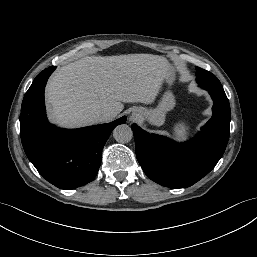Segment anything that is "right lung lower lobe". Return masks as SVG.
I'll return each instance as SVG.
<instances>
[{
	"instance_id": "obj_1",
	"label": "right lung lower lobe",
	"mask_w": 257,
	"mask_h": 257,
	"mask_svg": "<svg viewBox=\"0 0 257 257\" xmlns=\"http://www.w3.org/2000/svg\"><path fill=\"white\" fill-rule=\"evenodd\" d=\"M55 68L51 66L39 73L24 96L21 141L28 159L47 181L61 189H74L95 178L105 142L116 126L126 122V117L71 130L50 124L45 113L44 89Z\"/></svg>"
}]
</instances>
